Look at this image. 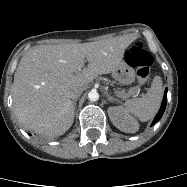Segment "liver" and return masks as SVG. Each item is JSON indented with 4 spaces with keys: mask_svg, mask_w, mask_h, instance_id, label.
Masks as SVG:
<instances>
[{
    "mask_svg": "<svg viewBox=\"0 0 187 187\" xmlns=\"http://www.w3.org/2000/svg\"><path fill=\"white\" fill-rule=\"evenodd\" d=\"M130 36L87 43L43 45L27 51L14 75L13 108L27 129L45 136L65 133L74 120L70 96L121 63ZM85 58L88 61L84 68Z\"/></svg>",
    "mask_w": 187,
    "mask_h": 187,
    "instance_id": "liver-1",
    "label": "liver"
}]
</instances>
